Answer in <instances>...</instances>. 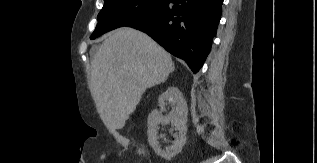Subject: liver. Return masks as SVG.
<instances>
[{
    "label": "liver",
    "mask_w": 317,
    "mask_h": 163,
    "mask_svg": "<svg viewBox=\"0 0 317 163\" xmlns=\"http://www.w3.org/2000/svg\"><path fill=\"white\" fill-rule=\"evenodd\" d=\"M173 71L171 56L145 33L128 27L109 33L91 62L89 82L105 126L123 128L145 90Z\"/></svg>",
    "instance_id": "1"
}]
</instances>
